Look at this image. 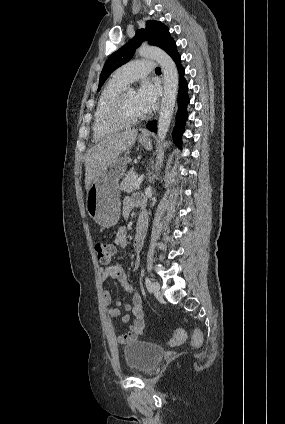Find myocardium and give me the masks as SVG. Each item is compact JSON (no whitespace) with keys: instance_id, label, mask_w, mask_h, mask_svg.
<instances>
[{"instance_id":"obj_1","label":"myocardium","mask_w":285,"mask_h":424,"mask_svg":"<svg viewBox=\"0 0 285 424\" xmlns=\"http://www.w3.org/2000/svg\"><path fill=\"white\" fill-rule=\"evenodd\" d=\"M128 90H123L110 104L106 117L109 123L119 125L121 127H129L138 124L145 119V115L138 118H129L124 111L125 98Z\"/></svg>"}]
</instances>
